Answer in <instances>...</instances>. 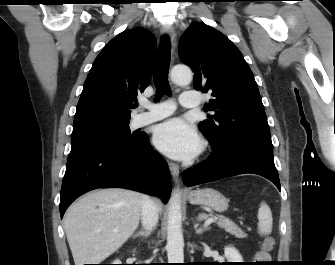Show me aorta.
I'll return each mask as SVG.
<instances>
[{"label":"aorta","instance_id":"1","mask_svg":"<svg viewBox=\"0 0 335 265\" xmlns=\"http://www.w3.org/2000/svg\"><path fill=\"white\" fill-rule=\"evenodd\" d=\"M192 71L187 66H174L171 80L177 85H187L192 80ZM184 239L182 234V216L180 193L175 189L170 198L167 224V256L168 263H184Z\"/></svg>","mask_w":335,"mask_h":265}]
</instances>
